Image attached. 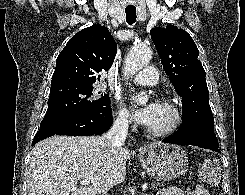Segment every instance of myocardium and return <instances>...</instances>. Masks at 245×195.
Listing matches in <instances>:
<instances>
[{
	"mask_svg": "<svg viewBox=\"0 0 245 195\" xmlns=\"http://www.w3.org/2000/svg\"><path fill=\"white\" fill-rule=\"evenodd\" d=\"M159 104L169 108L173 113V119L168 126L162 129L146 128V133L151 137H165L177 131L184 121L183 111L178 103L167 98H162L158 101Z\"/></svg>",
	"mask_w": 245,
	"mask_h": 195,
	"instance_id": "1",
	"label": "myocardium"
}]
</instances>
